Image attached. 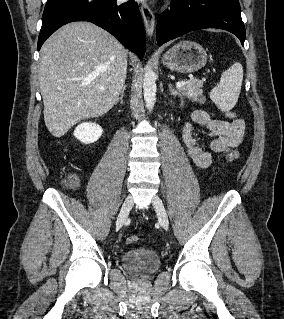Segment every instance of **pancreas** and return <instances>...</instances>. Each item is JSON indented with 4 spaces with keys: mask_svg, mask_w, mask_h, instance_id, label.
Instances as JSON below:
<instances>
[{
    "mask_svg": "<svg viewBox=\"0 0 284 319\" xmlns=\"http://www.w3.org/2000/svg\"><path fill=\"white\" fill-rule=\"evenodd\" d=\"M202 87V81H193L179 88V90L188 99L198 102L199 104H204L206 102V97L203 95Z\"/></svg>",
    "mask_w": 284,
    "mask_h": 319,
    "instance_id": "pancreas-1",
    "label": "pancreas"
}]
</instances>
